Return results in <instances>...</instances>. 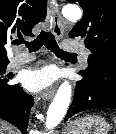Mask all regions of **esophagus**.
<instances>
[{"label": "esophagus", "mask_w": 116, "mask_h": 134, "mask_svg": "<svg viewBox=\"0 0 116 134\" xmlns=\"http://www.w3.org/2000/svg\"><path fill=\"white\" fill-rule=\"evenodd\" d=\"M50 15H51V23L53 27V33L57 37H61L64 33V28L62 25V16L57 8V6L50 4ZM55 93V88L50 87L46 91L43 92V99L44 100H49L52 98V96Z\"/></svg>", "instance_id": "1"}]
</instances>
